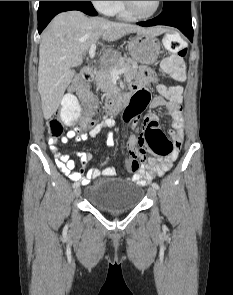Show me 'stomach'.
I'll use <instances>...</instances> for the list:
<instances>
[{"label":"stomach","mask_w":233,"mask_h":295,"mask_svg":"<svg viewBox=\"0 0 233 295\" xmlns=\"http://www.w3.org/2000/svg\"><path fill=\"white\" fill-rule=\"evenodd\" d=\"M128 50L136 62L152 65L158 60L160 44L152 34L137 33L130 37Z\"/></svg>","instance_id":"1"}]
</instances>
